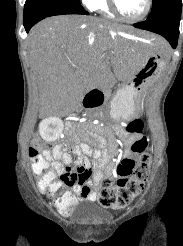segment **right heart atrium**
<instances>
[{"instance_id": "obj_1", "label": "right heart atrium", "mask_w": 183, "mask_h": 246, "mask_svg": "<svg viewBox=\"0 0 183 246\" xmlns=\"http://www.w3.org/2000/svg\"><path fill=\"white\" fill-rule=\"evenodd\" d=\"M88 8L91 7L93 0H81Z\"/></svg>"}]
</instances>
